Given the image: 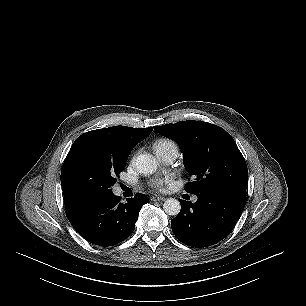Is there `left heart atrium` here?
<instances>
[{
	"mask_svg": "<svg viewBox=\"0 0 306 306\" xmlns=\"http://www.w3.org/2000/svg\"><path fill=\"white\" fill-rule=\"evenodd\" d=\"M173 179L174 177L171 174L162 177H154L149 181V185L154 189L164 190L173 182Z\"/></svg>",
	"mask_w": 306,
	"mask_h": 306,
	"instance_id": "left-heart-atrium-1",
	"label": "left heart atrium"
}]
</instances>
